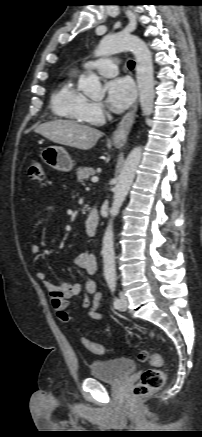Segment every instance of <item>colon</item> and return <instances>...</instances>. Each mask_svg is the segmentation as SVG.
Returning a JSON list of instances; mask_svg holds the SVG:
<instances>
[{
	"instance_id": "1",
	"label": "colon",
	"mask_w": 202,
	"mask_h": 437,
	"mask_svg": "<svg viewBox=\"0 0 202 437\" xmlns=\"http://www.w3.org/2000/svg\"><path fill=\"white\" fill-rule=\"evenodd\" d=\"M29 176L33 180H43L44 169L40 161H31L29 165ZM82 344L91 353L101 355L106 352L104 345L95 343L87 338H82ZM138 359L141 362H148L151 366H153V368L144 371L140 380L135 384L133 388V396L135 398L144 397L160 390L165 383L166 377V373L163 369L164 359L161 354L157 352L141 350L138 354Z\"/></svg>"
}]
</instances>
